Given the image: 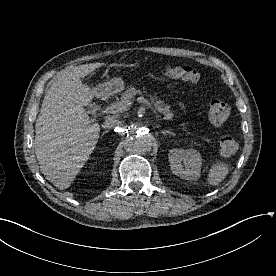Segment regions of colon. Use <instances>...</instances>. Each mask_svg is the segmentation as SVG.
Returning a JSON list of instances; mask_svg holds the SVG:
<instances>
[{
	"label": "colon",
	"instance_id": "5ec220e1",
	"mask_svg": "<svg viewBox=\"0 0 276 276\" xmlns=\"http://www.w3.org/2000/svg\"><path fill=\"white\" fill-rule=\"evenodd\" d=\"M167 77L183 82L195 83L199 81V72L191 66H172L165 71ZM230 115V107L221 100L213 101L208 110V118L214 125L223 124ZM239 149L238 142L230 135H225L219 142V153L222 157L230 158L234 156Z\"/></svg>",
	"mask_w": 276,
	"mask_h": 276
}]
</instances>
